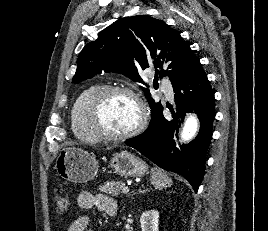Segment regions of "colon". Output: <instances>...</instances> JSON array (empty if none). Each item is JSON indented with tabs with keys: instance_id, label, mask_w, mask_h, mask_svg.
Returning a JSON list of instances; mask_svg holds the SVG:
<instances>
[{
	"instance_id": "1",
	"label": "colon",
	"mask_w": 268,
	"mask_h": 231,
	"mask_svg": "<svg viewBox=\"0 0 268 231\" xmlns=\"http://www.w3.org/2000/svg\"><path fill=\"white\" fill-rule=\"evenodd\" d=\"M54 202L58 214H63L70 206V199L63 193H57Z\"/></svg>"
}]
</instances>
